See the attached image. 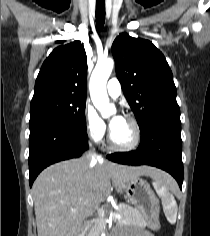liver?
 Instances as JSON below:
<instances>
[{
  "mask_svg": "<svg viewBox=\"0 0 210 236\" xmlns=\"http://www.w3.org/2000/svg\"><path fill=\"white\" fill-rule=\"evenodd\" d=\"M142 175L173 182L154 167L88 162L87 157L47 167L32 187L38 236H78L87 214L110 195L111 180L121 193L127 181Z\"/></svg>",
  "mask_w": 210,
  "mask_h": 236,
  "instance_id": "liver-1",
  "label": "liver"
}]
</instances>
